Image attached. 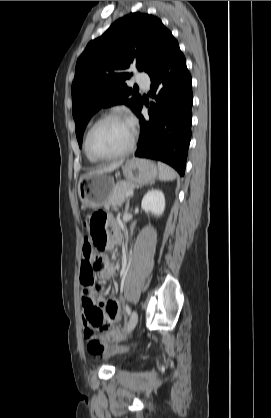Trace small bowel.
Segmentation results:
<instances>
[{
  "label": "small bowel",
  "instance_id": "1",
  "mask_svg": "<svg viewBox=\"0 0 271 418\" xmlns=\"http://www.w3.org/2000/svg\"><path fill=\"white\" fill-rule=\"evenodd\" d=\"M117 228L114 229V232ZM95 254V247L89 245V239H80V257L82 258L80 266V284L82 287L81 302L83 307V325L84 334L90 327V322L87 318V311L89 309H97L101 313L103 321L108 328L100 336V349H93L88 344V350L93 356H106L109 350L106 348V343L118 337L120 330L117 327L110 329L120 319V309L118 302L111 296L107 300L98 296L96 292L103 290L101 283L95 284V277L98 276L102 280H108L112 277L115 267L108 263L105 256L97 257ZM89 268V270H88Z\"/></svg>",
  "mask_w": 271,
  "mask_h": 418
}]
</instances>
